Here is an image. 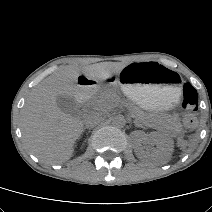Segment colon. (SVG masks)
Masks as SVG:
<instances>
[{
    "mask_svg": "<svg viewBox=\"0 0 212 212\" xmlns=\"http://www.w3.org/2000/svg\"><path fill=\"white\" fill-rule=\"evenodd\" d=\"M180 104L185 111V124L187 126L195 125L198 112V94L196 89L189 83H185L182 87Z\"/></svg>",
    "mask_w": 212,
    "mask_h": 212,
    "instance_id": "colon-1",
    "label": "colon"
}]
</instances>
